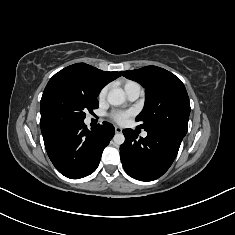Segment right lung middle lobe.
Segmentation results:
<instances>
[{
	"instance_id": "obj_1",
	"label": "right lung middle lobe",
	"mask_w": 235,
	"mask_h": 235,
	"mask_svg": "<svg viewBox=\"0 0 235 235\" xmlns=\"http://www.w3.org/2000/svg\"><path fill=\"white\" fill-rule=\"evenodd\" d=\"M96 97L81 92L68 81L51 78L41 98L40 125L83 122L86 112L98 108Z\"/></svg>"
}]
</instances>
